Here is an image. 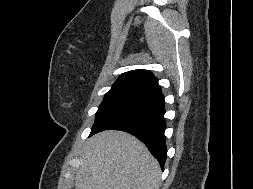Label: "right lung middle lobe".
I'll list each match as a JSON object with an SVG mask.
<instances>
[{"label": "right lung middle lobe", "instance_id": "right-lung-middle-lobe-1", "mask_svg": "<svg viewBox=\"0 0 253 189\" xmlns=\"http://www.w3.org/2000/svg\"><path fill=\"white\" fill-rule=\"evenodd\" d=\"M147 94L148 93L141 90L112 88L105 94V97L96 112V120L93 126H96L113 112L143 98Z\"/></svg>", "mask_w": 253, "mask_h": 189}]
</instances>
